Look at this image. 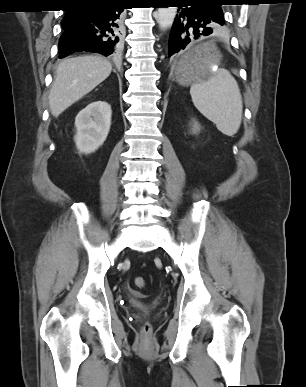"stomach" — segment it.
<instances>
[{"instance_id": "0dacf381", "label": "stomach", "mask_w": 306, "mask_h": 387, "mask_svg": "<svg viewBox=\"0 0 306 387\" xmlns=\"http://www.w3.org/2000/svg\"><path fill=\"white\" fill-rule=\"evenodd\" d=\"M221 55L211 43L199 44L192 49L175 67L176 81L188 86L205 79L212 68L220 62Z\"/></svg>"}]
</instances>
